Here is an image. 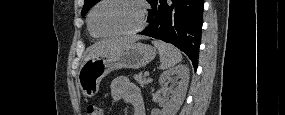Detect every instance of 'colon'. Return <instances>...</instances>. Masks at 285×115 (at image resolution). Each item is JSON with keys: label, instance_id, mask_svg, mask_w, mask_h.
I'll return each mask as SVG.
<instances>
[{"label": "colon", "instance_id": "colon-1", "mask_svg": "<svg viewBox=\"0 0 285 115\" xmlns=\"http://www.w3.org/2000/svg\"><path fill=\"white\" fill-rule=\"evenodd\" d=\"M86 114L87 115H103V110L96 105L90 104L86 108Z\"/></svg>", "mask_w": 285, "mask_h": 115}]
</instances>
